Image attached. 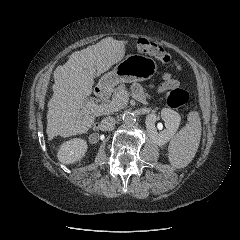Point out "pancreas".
Wrapping results in <instances>:
<instances>
[{"instance_id": "cf45deb5", "label": "pancreas", "mask_w": 240, "mask_h": 240, "mask_svg": "<svg viewBox=\"0 0 240 240\" xmlns=\"http://www.w3.org/2000/svg\"><path fill=\"white\" fill-rule=\"evenodd\" d=\"M120 97L122 100L119 103L118 110L123 108L128 102L129 94L124 84L118 85V87L113 90L112 100H118Z\"/></svg>"}]
</instances>
